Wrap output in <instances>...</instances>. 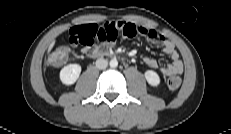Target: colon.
<instances>
[{
    "label": "colon",
    "mask_w": 231,
    "mask_h": 134,
    "mask_svg": "<svg viewBox=\"0 0 231 134\" xmlns=\"http://www.w3.org/2000/svg\"><path fill=\"white\" fill-rule=\"evenodd\" d=\"M69 55V50L65 47L55 50L48 59L49 65L53 67H59L67 60ZM181 85V78L178 76H171L167 80V86L171 90H176Z\"/></svg>",
    "instance_id": "1"
}]
</instances>
